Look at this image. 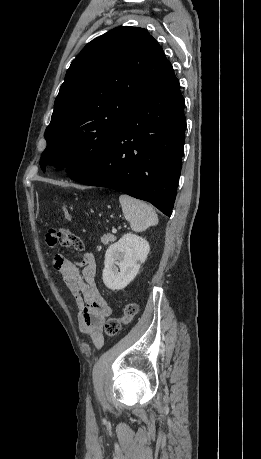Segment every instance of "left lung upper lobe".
Here are the masks:
<instances>
[{
	"label": "left lung upper lobe",
	"instance_id": "obj_1",
	"mask_svg": "<svg viewBox=\"0 0 261 459\" xmlns=\"http://www.w3.org/2000/svg\"><path fill=\"white\" fill-rule=\"evenodd\" d=\"M172 71L143 28L121 26L89 42L72 61L45 131L40 166L70 178L94 167L146 97Z\"/></svg>",
	"mask_w": 261,
	"mask_h": 459
}]
</instances>
